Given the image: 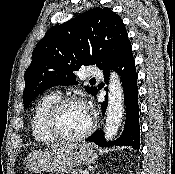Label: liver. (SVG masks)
<instances>
[{"label": "liver", "mask_w": 175, "mask_h": 174, "mask_svg": "<svg viewBox=\"0 0 175 174\" xmlns=\"http://www.w3.org/2000/svg\"><path fill=\"white\" fill-rule=\"evenodd\" d=\"M75 146H76L75 144H56L51 145V148H58V147L73 148Z\"/></svg>", "instance_id": "6515ba94"}]
</instances>
